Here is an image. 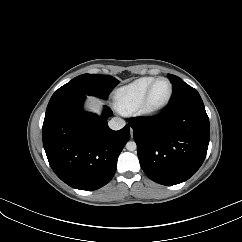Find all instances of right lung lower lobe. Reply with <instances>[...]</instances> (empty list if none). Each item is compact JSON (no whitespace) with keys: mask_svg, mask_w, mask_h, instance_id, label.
<instances>
[{"mask_svg":"<svg viewBox=\"0 0 242 242\" xmlns=\"http://www.w3.org/2000/svg\"><path fill=\"white\" fill-rule=\"evenodd\" d=\"M85 98H65L48 106L42 138L49 164L62 181L76 189L96 190L112 179L130 127L111 130V110L105 107L102 116L84 112Z\"/></svg>","mask_w":242,"mask_h":242,"instance_id":"1","label":"right lung lower lobe"}]
</instances>
